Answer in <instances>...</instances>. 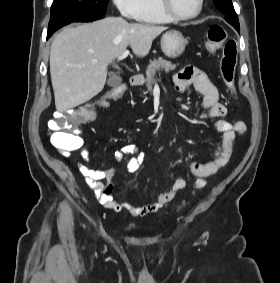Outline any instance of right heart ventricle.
Returning a JSON list of instances; mask_svg holds the SVG:
<instances>
[{
    "label": "right heart ventricle",
    "instance_id": "obj_1",
    "mask_svg": "<svg viewBox=\"0 0 280 283\" xmlns=\"http://www.w3.org/2000/svg\"><path fill=\"white\" fill-rule=\"evenodd\" d=\"M136 20L143 24H164L173 21L161 11L158 0H141V9Z\"/></svg>",
    "mask_w": 280,
    "mask_h": 283
}]
</instances>
